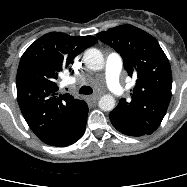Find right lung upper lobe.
Here are the masks:
<instances>
[{
	"instance_id": "cb5924a9",
	"label": "right lung upper lobe",
	"mask_w": 187,
	"mask_h": 187,
	"mask_svg": "<svg viewBox=\"0 0 187 187\" xmlns=\"http://www.w3.org/2000/svg\"><path fill=\"white\" fill-rule=\"evenodd\" d=\"M96 42L93 36L51 32L22 55L16 77L17 99L27 124L44 143L50 144L69 131L87 108L85 101L59 94L56 80L77 55Z\"/></svg>"
}]
</instances>
